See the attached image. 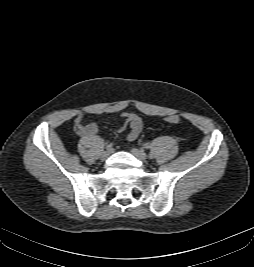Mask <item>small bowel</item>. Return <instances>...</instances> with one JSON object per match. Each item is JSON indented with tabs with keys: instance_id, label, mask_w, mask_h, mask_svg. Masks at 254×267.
Here are the masks:
<instances>
[{
	"instance_id": "obj_1",
	"label": "small bowel",
	"mask_w": 254,
	"mask_h": 267,
	"mask_svg": "<svg viewBox=\"0 0 254 267\" xmlns=\"http://www.w3.org/2000/svg\"><path fill=\"white\" fill-rule=\"evenodd\" d=\"M100 114V113H97ZM122 117L125 120V123L129 125L130 130L127 134L128 141H134L140 135L143 129L142 119L134 113H123ZM85 114L80 113L74 119V129L77 134L81 136H94L99 132V128L95 123H89L84 125L83 121Z\"/></svg>"
}]
</instances>
